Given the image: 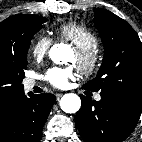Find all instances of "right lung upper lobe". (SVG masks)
<instances>
[{
	"instance_id": "right-lung-upper-lobe-1",
	"label": "right lung upper lobe",
	"mask_w": 142,
	"mask_h": 142,
	"mask_svg": "<svg viewBox=\"0 0 142 142\" xmlns=\"http://www.w3.org/2000/svg\"><path fill=\"white\" fill-rule=\"evenodd\" d=\"M32 15H14L0 23V62L15 55L19 35L26 28ZM24 95V87L0 86V127L7 121L14 105Z\"/></svg>"
}]
</instances>
